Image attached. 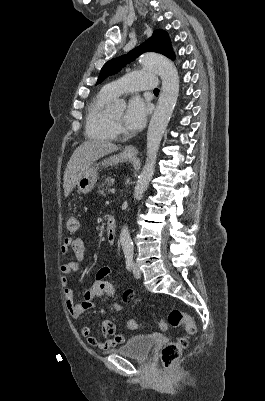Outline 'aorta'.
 <instances>
[{"mask_svg": "<svg viewBox=\"0 0 265 401\" xmlns=\"http://www.w3.org/2000/svg\"><path fill=\"white\" fill-rule=\"evenodd\" d=\"M139 62H141L142 66H146V68L157 72L161 76L162 88L154 114H152L149 122L147 130V158L134 188V198H141L143 196V192L148 188L149 182L153 178L160 142L179 96L178 70L172 60H169L166 56H162V54L148 52V54L140 56ZM120 243L124 255H133L134 247L126 225L121 229Z\"/></svg>", "mask_w": 265, "mask_h": 401, "instance_id": "1", "label": "aorta"}]
</instances>
